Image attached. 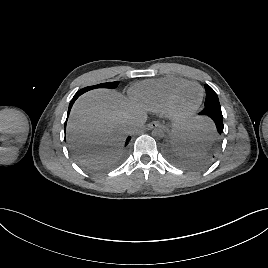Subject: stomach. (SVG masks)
<instances>
[{
  "instance_id": "0dacf381",
  "label": "stomach",
  "mask_w": 268,
  "mask_h": 268,
  "mask_svg": "<svg viewBox=\"0 0 268 268\" xmlns=\"http://www.w3.org/2000/svg\"><path fill=\"white\" fill-rule=\"evenodd\" d=\"M188 126H189V125H186L185 129H187ZM179 131H180V128H179V127L175 128L174 131H173V136H174V137H177ZM180 145H181L182 147H188V142L186 141L185 138H183V139L180 141ZM188 148H189V147H188Z\"/></svg>"
}]
</instances>
